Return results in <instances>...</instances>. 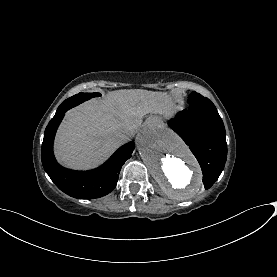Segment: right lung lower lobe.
<instances>
[{
  "label": "right lung lower lobe",
  "instance_id": "1",
  "mask_svg": "<svg viewBox=\"0 0 277 277\" xmlns=\"http://www.w3.org/2000/svg\"><path fill=\"white\" fill-rule=\"evenodd\" d=\"M69 106L60 105L44 132L41 148L42 164L55 185L64 193L78 199L105 196L116 187L122 165L135 148L134 142L120 147L111 158L97 169L73 171L60 166L53 155V140L56 130Z\"/></svg>",
  "mask_w": 277,
  "mask_h": 277
}]
</instances>
